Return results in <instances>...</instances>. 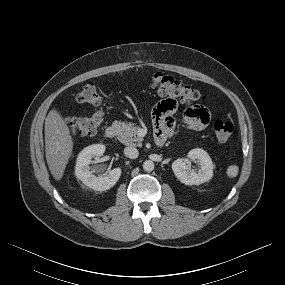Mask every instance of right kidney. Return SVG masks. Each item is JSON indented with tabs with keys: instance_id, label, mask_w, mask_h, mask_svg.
<instances>
[{
	"instance_id": "obj_1",
	"label": "right kidney",
	"mask_w": 285,
	"mask_h": 285,
	"mask_svg": "<svg viewBox=\"0 0 285 285\" xmlns=\"http://www.w3.org/2000/svg\"><path fill=\"white\" fill-rule=\"evenodd\" d=\"M105 152V146L94 144L84 148L77 157L75 175L83 184L96 191H106L113 187L121 176V169L114 168L103 176H96L90 171L89 164L93 157H100Z\"/></svg>"
}]
</instances>
